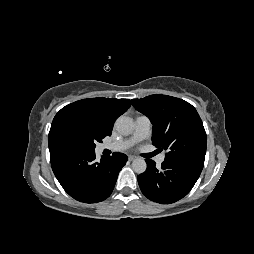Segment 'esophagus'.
I'll use <instances>...</instances> for the list:
<instances>
[{"label":"esophagus","mask_w":254,"mask_h":254,"mask_svg":"<svg viewBox=\"0 0 254 254\" xmlns=\"http://www.w3.org/2000/svg\"><path fill=\"white\" fill-rule=\"evenodd\" d=\"M137 158V156H135V155H128V160L129 161H133V160H135Z\"/></svg>","instance_id":"esophagus-1"}]
</instances>
